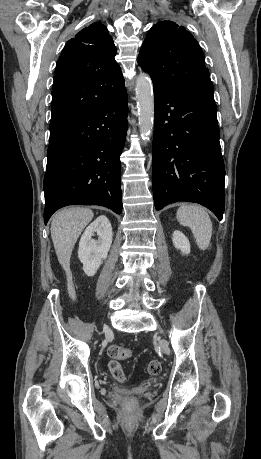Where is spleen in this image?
<instances>
[{"label": "spleen", "instance_id": "3e777b00", "mask_svg": "<svg viewBox=\"0 0 261 459\" xmlns=\"http://www.w3.org/2000/svg\"><path fill=\"white\" fill-rule=\"evenodd\" d=\"M178 222L188 226L201 250H207L212 237V222L204 208L198 205H182L176 214Z\"/></svg>", "mask_w": 261, "mask_h": 459}]
</instances>
